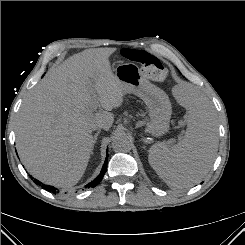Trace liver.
Here are the masks:
<instances>
[{"instance_id":"1","label":"liver","mask_w":245,"mask_h":245,"mask_svg":"<svg viewBox=\"0 0 245 245\" xmlns=\"http://www.w3.org/2000/svg\"><path fill=\"white\" fill-rule=\"evenodd\" d=\"M116 48L87 49L56 67L23 100L16 121V148L29 173L57 187L83 176L94 147V125L106 129L124 89L109 57ZM94 100L105 111L95 112Z\"/></svg>"}]
</instances>
